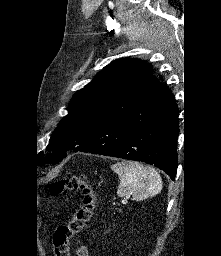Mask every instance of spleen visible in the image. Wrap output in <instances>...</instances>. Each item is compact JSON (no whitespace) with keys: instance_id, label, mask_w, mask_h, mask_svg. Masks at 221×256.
<instances>
[{"instance_id":"spleen-1","label":"spleen","mask_w":221,"mask_h":256,"mask_svg":"<svg viewBox=\"0 0 221 256\" xmlns=\"http://www.w3.org/2000/svg\"><path fill=\"white\" fill-rule=\"evenodd\" d=\"M111 169L120 179L117 189L119 197L131 196L134 201H142L162 190L161 177L152 167L137 162H118Z\"/></svg>"}]
</instances>
